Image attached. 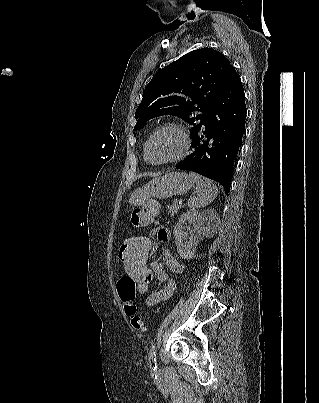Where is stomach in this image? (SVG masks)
Segmentation results:
<instances>
[{"instance_id":"obj_1","label":"stomach","mask_w":319,"mask_h":403,"mask_svg":"<svg viewBox=\"0 0 319 403\" xmlns=\"http://www.w3.org/2000/svg\"><path fill=\"white\" fill-rule=\"evenodd\" d=\"M194 186V180L185 172H171L154 178L131 194L129 202L141 206L149 198L164 199L183 195Z\"/></svg>"}]
</instances>
